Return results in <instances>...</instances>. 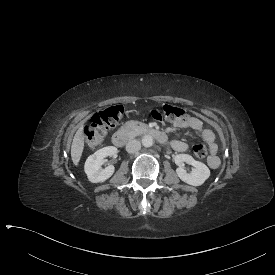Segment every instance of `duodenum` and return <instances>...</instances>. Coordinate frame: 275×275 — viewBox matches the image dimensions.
<instances>
[{"instance_id": "duodenum-1", "label": "duodenum", "mask_w": 275, "mask_h": 275, "mask_svg": "<svg viewBox=\"0 0 275 275\" xmlns=\"http://www.w3.org/2000/svg\"><path fill=\"white\" fill-rule=\"evenodd\" d=\"M145 133L150 136H153L156 140H158L161 143L166 142L168 139L167 135L164 132L155 128H148L145 130ZM130 139L131 136L127 132L119 130L114 133L112 137V142L115 146L122 147L126 145Z\"/></svg>"}]
</instances>
